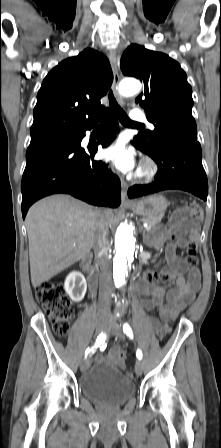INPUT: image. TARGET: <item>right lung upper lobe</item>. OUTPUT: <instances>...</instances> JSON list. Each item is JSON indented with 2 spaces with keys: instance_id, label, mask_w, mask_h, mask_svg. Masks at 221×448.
I'll return each mask as SVG.
<instances>
[{
  "instance_id": "cb5924a9",
  "label": "right lung upper lobe",
  "mask_w": 221,
  "mask_h": 448,
  "mask_svg": "<svg viewBox=\"0 0 221 448\" xmlns=\"http://www.w3.org/2000/svg\"><path fill=\"white\" fill-rule=\"evenodd\" d=\"M112 81L108 59L93 49L59 63L38 91L29 146L91 127L107 110L100 99Z\"/></svg>"
}]
</instances>
